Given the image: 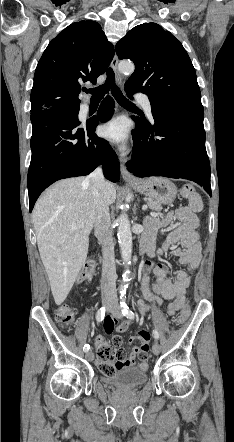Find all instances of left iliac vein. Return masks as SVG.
<instances>
[{
  "label": "left iliac vein",
  "instance_id": "obj_1",
  "mask_svg": "<svg viewBox=\"0 0 234 442\" xmlns=\"http://www.w3.org/2000/svg\"><path fill=\"white\" fill-rule=\"evenodd\" d=\"M109 310H110L111 313L114 315V317H116V318H121V317H122V314H121V312H120V308H119V305H118L116 299H114V300L112 301V303L110 304V308H109ZM160 350H161V347H160L159 343H158V342H155V343L153 344V346H152V351H153V353H154L155 355H158V354L160 353Z\"/></svg>",
  "mask_w": 234,
  "mask_h": 442
}]
</instances>
